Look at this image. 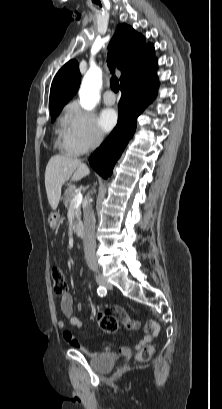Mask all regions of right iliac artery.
<instances>
[{"label": "right iliac artery", "instance_id": "82829eb1", "mask_svg": "<svg viewBox=\"0 0 222 409\" xmlns=\"http://www.w3.org/2000/svg\"><path fill=\"white\" fill-rule=\"evenodd\" d=\"M97 294H98L100 297L106 296V294H107L106 288L103 287V286L98 287V289H97Z\"/></svg>", "mask_w": 222, "mask_h": 409}]
</instances>
